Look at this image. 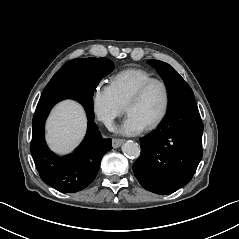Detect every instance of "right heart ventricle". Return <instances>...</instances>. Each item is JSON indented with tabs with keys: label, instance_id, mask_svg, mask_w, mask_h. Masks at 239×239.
Segmentation results:
<instances>
[{
	"label": "right heart ventricle",
	"instance_id": "obj_1",
	"mask_svg": "<svg viewBox=\"0 0 239 239\" xmlns=\"http://www.w3.org/2000/svg\"><path fill=\"white\" fill-rule=\"evenodd\" d=\"M151 78H153V75L145 69L126 68L111 76L110 85L113 87L119 100L126 106L134 91Z\"/></svg>",
	"mask_w": 239,
	"mask_h": 239
}]
</instances>
